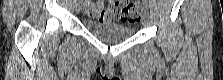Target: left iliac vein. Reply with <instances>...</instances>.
Instances as JSON below:
<instances>
[{
  "label": "left iliac vein",
  "mask_w": 223,
  "mask_h": 80,
  "mask_svg": "<svg viewBox=\"0 0 223 80\" xmlns=\"http://www.w3.org/2000/svg\"><path fill=\"white\" fill-rule=\"evenodd\" d=\"M149 21H150V17H149L148 10L146 8H144L143 9V13H142V24L144 26H148L149 25Z\"/></svg>",
  "instance_id": "obj_1"
}]
</instances>
